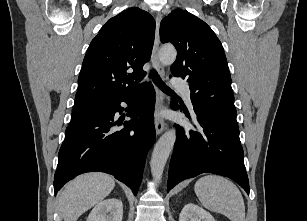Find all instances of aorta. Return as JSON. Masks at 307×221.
Returning <instances> with one entry per match:
<instances>
[{"label": "aorta", "mask_w": 307, "mask_h": 221, "mask_svg": "<svg viewBox=\"0 0 307 221\" xmlns=\"http://www.w3.org/2000/svg\"><path fill=\"white\" fill-rule=\"evenodd\" d=\"M176 56V49L171 45L164 46L160 49L159 58L165 65L172 64L175 61ZM175 141V129L168 130L157 141L150 161L151 173L155 181H159L162 178L165 164L173 150Z\"/></svg>", "instance_id": "aorta-1"}]
</instances>
